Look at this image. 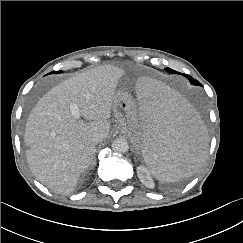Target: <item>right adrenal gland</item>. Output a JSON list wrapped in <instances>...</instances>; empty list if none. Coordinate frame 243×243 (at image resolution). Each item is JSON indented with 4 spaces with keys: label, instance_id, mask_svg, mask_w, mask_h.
I'll return each instance as SVG.
<instances>
[{
    "label": "right adrenal gland",
    "instance_id": "2a0ac1e0",
    "mask_svg": "<svg viewBox=\"0 0 243 243\" xmlns=\"http://www.w3.org/2000/svg\"><path fill=\"white\" fill-rule=\"evenodd\" d=\"M95 165H96V162H95V159H94L93 164H92L93 169H94V166H95Z\"/></svg>",
    "mask_w": 243,
    "mask_h": 243
}]
</instances>
